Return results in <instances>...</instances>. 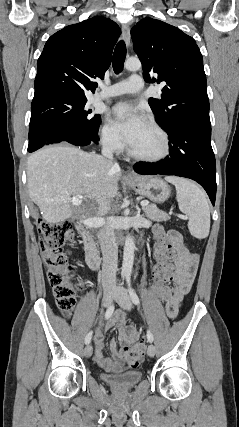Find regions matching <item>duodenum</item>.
Returning a JSON list of instances; mask_svg holds the SVG:
<instances>
[{"instance_id": "1", "label": "duodenum", "mask_w": 239, "mask_h": 427, "mask_svg": "<svg viewBox=\"0 0 239 427\" xmlns=\"http://www.w3.org/2000/svg\"><path fill=\"white\" fill-rule=\"evenodd\" d=\"M81 238L82 249L88 266L92 270H97L100 267V256L96 244L88 228L79 226L77 228Z\"/></svg>"}]
</instances>
